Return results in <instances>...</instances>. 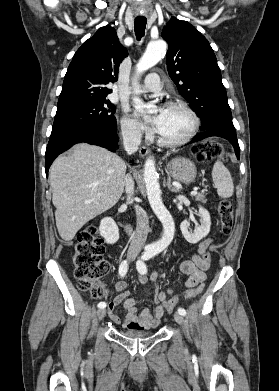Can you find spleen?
Returning <instances> with one entry per match:
<instances>
[{
	"instance_id": "spleen-1",
	"label": "spleen",
	"mask_w": 279,
	"mask_h": 391,
	"mask_svg": "<svg viewBox=\"0 0 279 391\" xmlns=\"http://www.w3.org/2000/svg\"><path fill=\"white\" fill-rule=\"evenodd\" d=\"M212 178L220 197L229 198L233 195L234 185L232 177L222 162H215L212 170Z\"/></svg>"
}]
</instances>
